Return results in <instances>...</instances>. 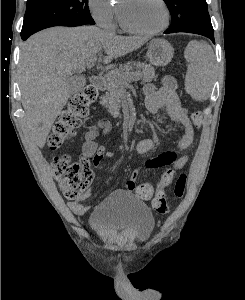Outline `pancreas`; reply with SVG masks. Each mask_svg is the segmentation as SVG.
<instances>
[{"mask_svg": "<svg viewBox=\"0 0 245 300\" xmlns=\"http://www.w3.org/2000/svg\"><path fill=\"white\" fill-rule=\"evenodd\" d=\"M133 65L136 68L135 72H131L133 70V66L132 63H128L127 65L121 66L118 70L109 71L105 75L108 82V93L101 98V103L108 108V111L114 117L120 115L119 103L121 89L128 81L134 80L129 78L130 74H136L137 79H142L144 82H151L157 78L155 70L151 65L140 62L136 64L134 63Z\"/></svg>", "mask_w": 245, "mask_h": 300, "instance_id": "cf45deb5", "label": "pancreas"}]
</instances>
